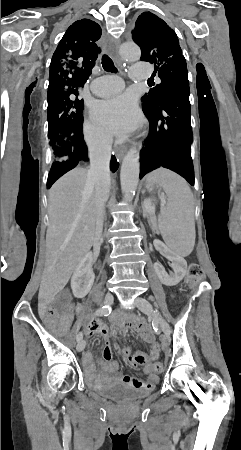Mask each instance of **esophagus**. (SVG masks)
Here are the masks:
<instances>
[{"label":"esophagus","instance_id":"esophagus-1","mask_svg":"<svg viewBox=\"0 0 241 450\" xmlns=\"http://www.w3.org/2000/svg\"><path fill=\"white\" fill-rule=\"evenodd\" d=\"M119 43H120L119 41L115 42L110 49V52L112 53L113 58L115 60L118 59ZM125 152H126V148H120V149L116 150V157L121 160L123 158Z\"/></svg>","mask_w":241,"mask_h":450}]
</instances>
